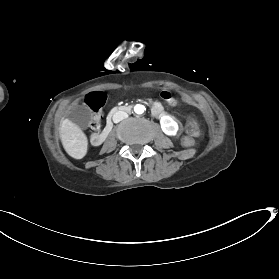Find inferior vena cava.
<instances>
[{
	"label": "inferior vena cava",
	"instance_id": "602c4592",
	"mask_svg": "<svg viewBox=\"0 0 279 279\" xmlns=\"http://www.w3.org/2000/svg\"><path fill=\"white\" fill-rule=\"evenodd\" d=\"M128 117L127 113L124 112V110H117L113 115V121L114 123H118L122 121L123 119H126Z\"/></svg>",
	"mask_w": 279,
	"mask_h": 279
}]
</instances>
